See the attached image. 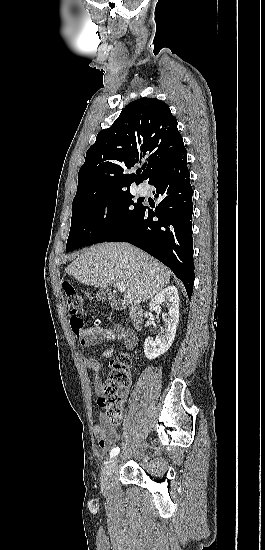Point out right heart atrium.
Returning <instances> with one entry per match:
<instances>
[{"mask_svg":"<svg viewBox=\"0 0 265 550\" xmlns=\"http://www.w3.org/2000/svg\"><path fill=\"white\" fill-rule=\"evenodd\" d=\"M117 214V208L114 204L112 203H108L105 208H104V211H103V215L106 219H112L116 216Z\"/></svg>","mask_w":265,"mask_h":550,"instance_id":"obj_1","label":"right heart atrium"}]
</instances>
